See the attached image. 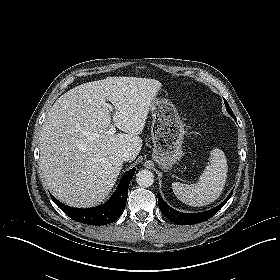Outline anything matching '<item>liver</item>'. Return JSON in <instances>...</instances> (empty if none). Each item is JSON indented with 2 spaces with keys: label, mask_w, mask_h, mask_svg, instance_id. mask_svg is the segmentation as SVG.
I'll use <instances>...</instances> for the list:
<instances>
[{
  "label": "liver",
  "mask_w": 280,
  "mask_h": 280,
  "mask_svg": "<svg viewBox=\"0 0 280 280\" xmlns=\"http://www.w3.org/2000/svg\"><path fill=\"white\" fill-rule=\"evenodd\" d=\"M161 87L155 79L107 77L56 100L40 132L39 168L58 200L86 208L106 199L123 168L121 155L134 160L142 148L139 135ZM112 120L124 133L107 135Z\"/></svg>",
  "instance_id": "liver-1"
}]
</instances>
